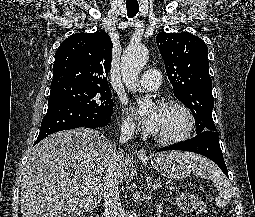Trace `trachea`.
Wrapping results in <instances>:
<instances>
[{"label":"trachea","instance_id":"1","mask_svg":"<svg viewBox=\"0 0 255 217\" xmlns=\"http://www.w3.org/2000/svg\"><path fill=\"white\" fill-rule=\"evenodd\" d=\"M126 8L129 18H133L139 11L138 3H126Z\"/></svg>","mask_w":255,"mask_h":217}]
</instances>
